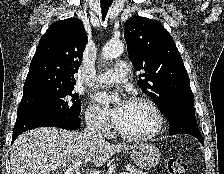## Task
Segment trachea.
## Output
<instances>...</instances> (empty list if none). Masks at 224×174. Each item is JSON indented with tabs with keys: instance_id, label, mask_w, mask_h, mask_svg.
<instances>
[{
	"instance_id": "obj_1",
	"label": "trachea",
	"mask_w": 224,
	"mask_h": 174,
	"mask_svg": "<svg viewBox=\"0 0 224 174\" xmlns=\"http://www.w3.org/2000/svg\"><path fill=\"white\" fill-rule=\"evenodd\" d=\"M100 3H101V8H102L103 20H105V16L107 14L109 7L112 5V1L111 0H100Z\"/></svg>"
}]
</instances>
